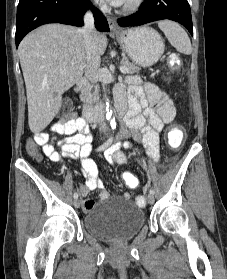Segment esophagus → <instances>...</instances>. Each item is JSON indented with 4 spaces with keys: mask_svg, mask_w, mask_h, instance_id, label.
I'll use <instances>...</instances> for the list:
<instances>
[{
    "mask_svg": "<svg viewBox=\"0 0 227 279\" xmlns=\"http://www.w3.org/2000/svg\"><path fill=\"white\" fill-rule=\"evenodd\" d=\"M107 20H108V25H109L110 31L112 33L120 32L119 26H118V24H117L115 19H113L111 17H108Z\"/></svg>",
    "mask_w": 227,
    "mask_h": 279,
    "instance_id": "obj_1",
    "label": "esophagus"
}]
</instances>
